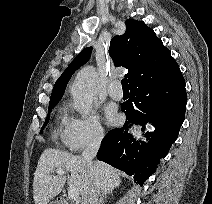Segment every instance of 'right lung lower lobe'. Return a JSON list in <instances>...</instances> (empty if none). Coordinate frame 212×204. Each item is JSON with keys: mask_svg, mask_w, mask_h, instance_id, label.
I'll use <instances>...</instances> for the list:
<instances>
[{"mask_svg": "<svg viewBox=\"0 0 212 204\" xmlns=\"http://www.w3.org/2000/svg\"><path fill=\"white\" fill-rule=\"evenodd\" d=\"M186 103L185 81L178 66L132 85L129 100L122 104L127 121L105 136L98 160L133 176L142 185L177 139ZM143 122L155 127L154 132L145 134L148 143H139L126 132L130 123Z\"/></svg>", "mask_w": 212, "mask_h": 204, "instance_id": "right-lung-lower-lobe-1", "label": "right lung lower lobe"}]
</instances>
